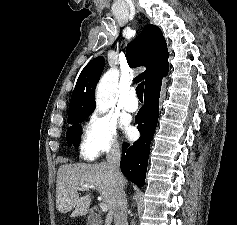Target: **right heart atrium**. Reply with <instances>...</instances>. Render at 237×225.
<instances>
[{
  "mask_svg": "<svg viewBox=\"0 0 237 225\" xmlns=\"http://www.w3.org/2000/svg\"><path fill=\"white\" fill-rule=\"evenodd\" d=\"M80 152L87 159L120 149L117 124L100 113L91 114L82 126Z\"/></svg>",
  "mask_w": 237,
  "mask_h": 225,
  "instance_id": "obj_1",
  "label": "right heart atrium"
}]
</instances>
